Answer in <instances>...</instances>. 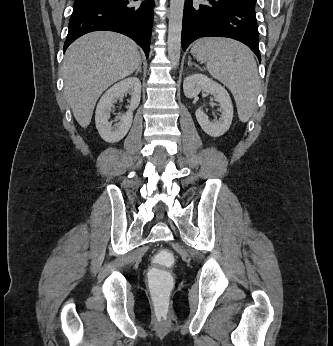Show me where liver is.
<instances>
[{
    "instance_id": "6515ba94",
    "label": "liver",
    "mask_w": 333,
    "mask_h": 346,
    "mask_svg": "<svg viewBox=\"0 0 333 346\" xmlns=\"http://www.w3.org/2000/svg\"><path fill=\"white\" fill-rule=\"evenodd\" d=\"M140 62L136 43L114 32L88 33L69 46L63 61L64 95L81 127L90 124L100 95Z\"/></svg>"
}]
</instances>
